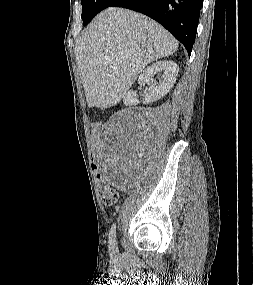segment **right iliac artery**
<instances>
[{
  "instance_id": "obj_1",
  "label": "right iliac artery",
  "mask_w": 253,
  "mask_h": 285,
  "mask_svg": "<svg viewBox=\"0 0 253 285\" xmlns=\"http://www.w3.org/2000/svg\"><path fill=\"white\" fill-rule=\"evenodd\" d=\"M109 246L114 249L116 246V225L113 224L109 233Z\"/></svg>"
}]
</instances>
